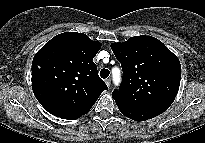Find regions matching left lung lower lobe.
Wrapping results in <instances>:
<instances>
[{
    "label": "left lung lower lobe",
    "instance_id": "0a47b994",
    "mask_svg": "<svg viewBox=\"0 0 205 143\" xmlns=\"http://www.w3.org/2000/svg\"><path fill=\"white\" fill-rule=\"evenodd\" d=\"M120 112L135 121H145L158 116L168 109L169 105L146 106V107H132L117 103Z\"/></svg>",
    "mask_w": 205,
    "mask_h": 143
}]
</instances>
